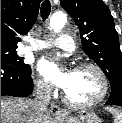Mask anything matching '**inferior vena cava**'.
Listing matches in <instances>:
<instances>
[{
	"label": "inferior vena cava",
	"mask_w": 122,
	"mask_h": 123,
	"mask_svg": "<svg viewBox=\"0 0 122 123\" xmlns=\"http://www.w3.org/2000/svg\"><path fill=\"white\" fill-rule=\"evenodd\" d=\"M51 99V86L49 84L39 83L37 85V94L32 105L38 116L46 112V108Z\"/></svg>",
	"instance_id": "602c4592"
}]
</instances>
